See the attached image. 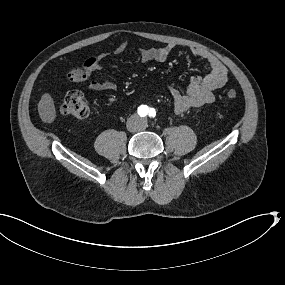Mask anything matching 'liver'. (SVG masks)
Wrapping results in <instances>:
<instances>
[{"mask_svg": "<svg viewBox=\"0 0 285 285\" xmlns=\"http://www.w3.org/2000/svg\"><path fill=\"white\" fill-rule=\"evenodd\" d=\"M38 112L41 120L45 123H52L56 118V110L52 97L45 93L38 103Z\"/></svg>", "mask_w": 285, "mask_h": 285, "instance_id": "1", "label": "liver"}]
</instances>
